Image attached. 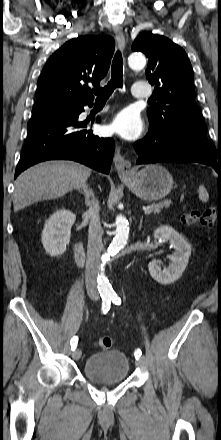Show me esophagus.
Listing matches in <instances>:
<instances>
[{
    "label": "esophagus",
    "mask_w": 221,
    "mask_h": 440,
    "mask_svg": "<svg viewBox=\"0 0 221 440\" xmlns=\"http://www.w3.org/2000/svg\"><path fill=\"white\" fill-rule=\"evenodd\" d=\"M114 33L120 49H124L126 42L122 27L120 25L115 26ZM113 162L119 177L129 176L132 170L131 162L121 155L119 147L116 148Z\"/></svg>",
    "instance_id": "34e87169"
}]
</instances>
